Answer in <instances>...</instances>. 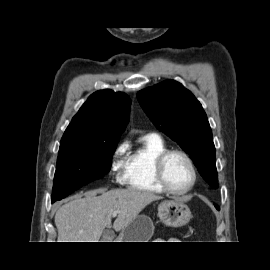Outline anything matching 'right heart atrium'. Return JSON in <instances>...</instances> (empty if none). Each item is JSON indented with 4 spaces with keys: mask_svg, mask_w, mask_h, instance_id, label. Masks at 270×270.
<instances>
[{
    "mask_svg": "<svg viewBox=\"0 0 270 270\" xmlns=\"http://www.w3.org/2000/svg\"><path fill=\"white\" fill-rule=\"evenodd\" d=\"M128 149V143L126 141L120 143L113 151L110 160V172L113 176L114 182L121 184L124 182V176L126 171L125 153Z\"/></svg>",
    "mask_w": 270,
    "mask_h": 270,
    "instance_id": "d8ad5b80",
    "label": "right heart atrium"
}]
</instances>
